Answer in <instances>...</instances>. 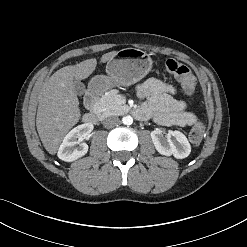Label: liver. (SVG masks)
<instances>
[{
    "label": "liver",
    "instance_id": "6515ba94",
    "mask_svg": "<svg viewBox=\"0 0 247 247\" xmlns=\"http://www.w3.org/2000/svg\"><path fill=\"white\" fill-rule=\"evenodd\" d=\"M116 54L117 51L108 52L102 55L100 62L105 63ZM96 65L97 60L91 58L63 67L43 84L39 94L36 126L48 153L56 154L64 136L81 118L74 80L88 78Z\"/></svg>",
    "mask_w": 247,
    "mask_h": 247
}]
</instances>
